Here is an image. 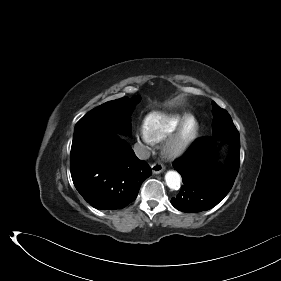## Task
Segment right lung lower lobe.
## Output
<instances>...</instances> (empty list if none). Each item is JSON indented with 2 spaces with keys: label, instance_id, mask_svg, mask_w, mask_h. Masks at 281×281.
<instances>
[{
  "label": "right lung lower lobe",
  "instance_id": "right-lung-lower-lobe-1",
  "mask_svg": "<svg viewBox=\"0 0 281 281\" xmlns=\"http://www.w3.org/2000/svg\"><path fill=\"white\" fill-rule=\"evenodd\" d=\"M70 169L78 192L100 210L126 207L152 174L149 165L139 160L131 146L115 132L72 142Z\"/></svg>",
  "mask_w": 281,
  "mask_h": 281
}]
</instances>
